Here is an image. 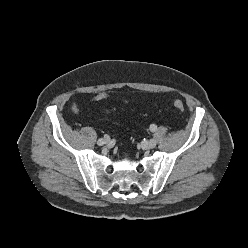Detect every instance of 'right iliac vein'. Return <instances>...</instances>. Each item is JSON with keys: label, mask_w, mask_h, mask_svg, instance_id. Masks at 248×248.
Segmentation results:
<instances>
[{"label": "right iliac vein", "mask_w": 248, "mask_h": 248, "mask_svg": "<svg viewBox=\"0 0 248 248\" xmlns=\"http://www.w3.org/2000/svg\"><path fill=\"white\" fill-rule=\"evenodd\" d=\"M101 140L103 141L102 143V145H105V144H108L109 143V139H106V138H101ZM101 145V146H102Z\"/></svg>", "instance_id": "obj_1"}]
</instances>
